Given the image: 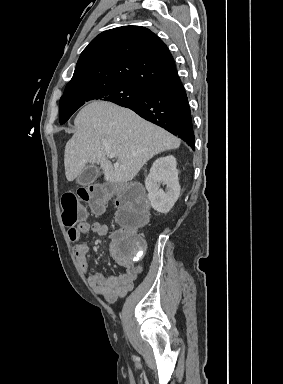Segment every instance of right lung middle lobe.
Returning a JSON list of instances; mask_svg holds the SVG:
<instances>
[{"instance_id":"obj_1","label":"right lung middle lobe","mask_w":283,"mask_h":384,"mask_svg":"<svg viewBox=\"0 0 283 384\" xmlns=\"http://www.w3.org/2000/svg\"><path fill=\"white\" fill-rule=\"evenodd\" d=\"M147 89L126 82H105L66 88L59 102V120L64 124L85 102L100 99L122 104L142 98Z\"/></svg>"}]
</instances>
